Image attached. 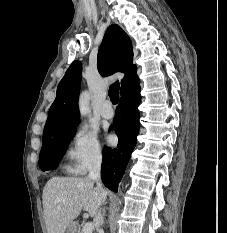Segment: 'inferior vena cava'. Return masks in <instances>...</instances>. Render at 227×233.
<instances>
[{"mask_svg":"<svg viewBox=\"0 0 227 233\" xmlns=\"http://www.w3.org/2000/svg\"><path fill=\"white\" fill-rule=\"evenodd\" d=\"M102 157L101 155H96L89 166V179L96 181L97 188L103 190L101 180H100V170H101ZM96 220L102 224L103 216L101 212H98L96 215Z\"/></svg>","mask_w":227,"mask_h":233,"instance_id":"1","label":"inferior vena cava"}]
</instances>
